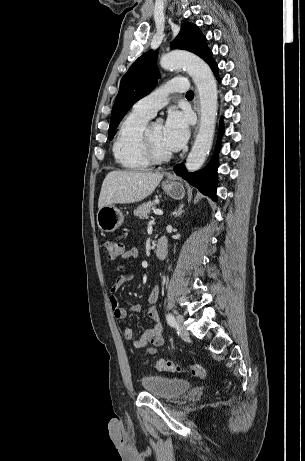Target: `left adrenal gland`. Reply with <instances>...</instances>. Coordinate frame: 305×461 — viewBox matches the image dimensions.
Masks as SVG:
<instances>
[{
	"mask_svg": "<svg viewBox=\"0 0 305 461\" xmlns=\"http://www.w3.org/2000/svg\"><path fill=\"white\" fill-rule=\"evenodd\" d=\"M183 206H184V204H181L179 206L178 210L174 212L175 218L179 217L184 212V210H182Z\"/></svg>",
	"mask_w": 305,
	"mask_h": 461,
	"instance_id": "a2214340",
	"label": "left adrenal gland"
}]
</instances>
